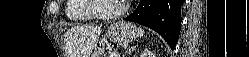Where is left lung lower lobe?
I'll list each match as a JSON object with an SVG mask.
<instances>
[{
	"instance_id": "0a47b994",
	"label": "left lung lower lobe",
	"mask_w": 249,
	"mask_h": 57,
	"mask_svg": "<svg viewBox=\"0 0 249 57\" xmlns=\"http://www.w3.org/2000/svg\"><path fill=\"white\" fill-rule=\"evenodd\" d=\"M185 0H140L125 20L147 26L161 34L174 49L181 28L180 8Z\"/></svg>"
}]
</instances>
